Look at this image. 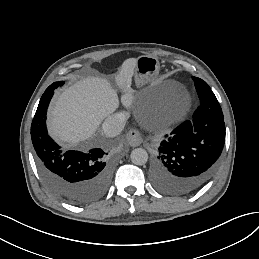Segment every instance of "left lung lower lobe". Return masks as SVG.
Segmentation results:
<instances>
[{
  "label": "left lung lower lobe",
  "instance_id": "1",
  "mask_svg": "<svg viewBox=\"0 0 259 259\" xmlns=\"http://www.w3.org/2000/svg\"><path fill=\"white\" fill-rule=\"evenodd\" d=\"M200 106L192 120L175 128L163 140L150 170L160 192L184 196L202 187L215 173L225 141L220 104L210 90L198 91Z\"/></svg>",
  "mask_w": 259,
  "mask_h": 259
}]
</instances>
